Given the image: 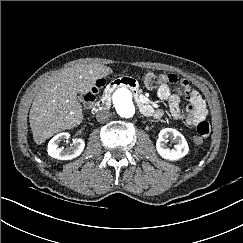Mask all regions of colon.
Listing matches in <instances>:
<instances>
[{
    "label": "colon",
    "mask_w": 243,
    "mask_h": 243,
    "mask_svg": "<svg viewBox=\"0 0 243 243\" xmlns=\"http://www.w3.org/2000/svg\"><path fill=\"white\" fill-rule=\"evenodd\" d=\"M165 81V77L163 75H158L153 72H147L143 76V83L148 89H154L158 87L160 84H162ZM104 82L103 80H98L96 85L90 90V92L86 95V101L92 102L98 91L103 87ZM193 143L196 145H200L203 143V136L201 135H195L193 137Z\"/></svg>",
    "instance_id": "obj_1"
}]
</instances>
